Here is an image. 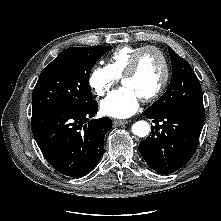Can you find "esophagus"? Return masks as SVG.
I'll return each instance as SVG.
<instances>
[{
  "label": "esophagus",
  "instance_id": "obj_1",
  "mask_svg": "<svg viewBox=\"0 0 221 221\" xmlns=\"http://www.w3.org/2000/svg\"><path fill=\"white\" fill-rule=\"evenodd\" d=\"M129 122V120H113V124L115 126H120V125H124L127 124Z\"/></svg>",
  "mask_w": 221,
  "mask_h": 221
}]
</instances>
